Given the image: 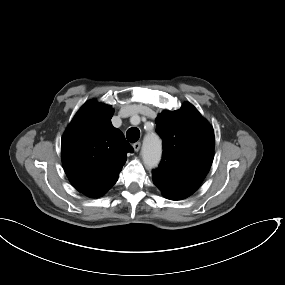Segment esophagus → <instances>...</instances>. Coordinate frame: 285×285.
Listing matches in <instances>:
<instances>
[{
	"label": "esophagus",
	"instance_id": "obj_1",
	"mask_svg": "<svg viewBox=\"0 0 285 285\" xmlns=\"http://www.w3.org/2000/svg\"><path fill=\"white\" fill-rule=\"evenodd\" d=\"M141 147V143L140 142H136L133 144V149L138 152L140 150Z\"/></svg>",
	"mask_w": 285,
	"mask_h": 285
}]
</instances>
